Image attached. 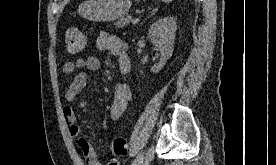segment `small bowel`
<instances>
[{
    "label": "small bowel",
    "instance_id": "small-bowel-1",
    "mask_svg": "<svg viewBox=\"0 0 276 165\" xmlns=\"http://www.w3.org/2000/svg\"><path fill=\"white\" fill-rule=\"evenodd\" d=\"M96 46L99 50L108 51L117 58L119 70L123 76L129 73L131 63L127 44L124 41L112 33L103 31L96 38ZM100 66L101 63L95 56H89L85 59L78 58L74 61L65 62L62 69L66 75H71L79 71L65 88V99L67 101H73L86 86L87 75L85 72L81 71L82 69L86 68L95 71L98 70ZM131 99L132 93L129 85L123 80L118 81L114 88V98L109 110L112 120H117L121 117ZM81 107L87 111V104L85 101L81 103ZM63 114L68 131L80 148L86 165H102L97 158L94 148L83 136H81L74 110L71 107H65L63 109ZM106 165H119V161L112 157L107 160Z\"/></svg>",
    "mask_w": 276,
    "mask_h": 165
}]
</instances>
